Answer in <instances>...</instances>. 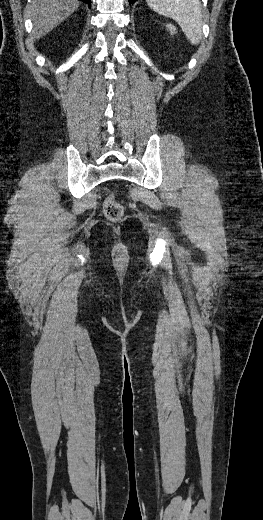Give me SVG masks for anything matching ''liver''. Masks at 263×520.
Listing matches in <instances>:
<instances>
[{
	"instance_id": "1",
	"label": "liver",
	"mask_w": 263,
	"mask_h": 520,
	"mask_svg": "<svg viewBox=\"0 0 263 520\" xmlns=\"http://www.w3.org/2000/svg\"><path fill=\"white\" fill-rule=\"evenodd\" d=\"M79 7L78 0H32L30 6L33 22L32 38L40 39L48 34Z\"/></svg>"
}]
</instances>
